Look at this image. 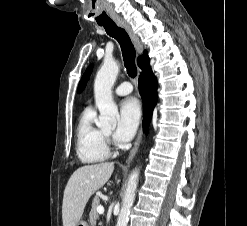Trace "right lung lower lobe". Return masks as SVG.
<instances>
[{
  "instance_id": "98d812e1",
  "label": "right lung lower lobe",
  "mask_w": 247,
  "mask_h": 226,
  "mask_svg": "<svg viewBox=\"0 0 247 226\" xmlns=\"http://www.w3.org/2000/svg\"><path fill=\"white\" fill-rule=\"evenodd\" d=\"M149 62L145 68L142 69V73L139 77V91L144 104V130L149 125L150 117L157 101V81L156 77L152 73L151 69H148Z\"/></svg>"
}]
</instances>
